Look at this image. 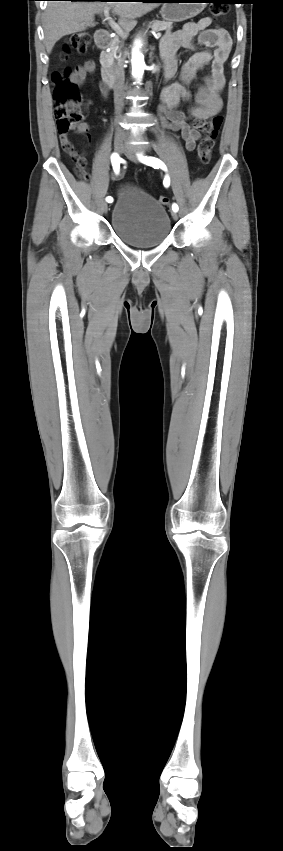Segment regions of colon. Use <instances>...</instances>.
Wrapping results in <instances>:
<instances>
[{
	"mask_svg": "<svg viewBox=\"0 0 283 851\" xmlns=\"http://www.w3.org/2000/svg\"><path fill=\"white\" fill-rule=\"evenodd\" d=\"M227 12L228 7L222 4H216L211 8V13L215 17L224 16ZM89 44L90 36L87 32L79 31L73 33L64 42L61 58L67 60L71 50L84 53ZM70 75L69 69L55 72L52 75L55 86L54 96L56 98L54 117L59 135H67L73 130L86 132L88 129L81 110L82 96L78 85L71 81ZM222 124L223 117L217 113L202 127L203 137L198 144L197 155L203 164H207L211 159L212 149ZM75 172L80 178H88L85 165L82 162H76ZM159 201L163 205H166L169 202V198L163 195L159 197Z\"/></svg>",
	"mask_w": 283,
	"mask_h": 851,
	"instance_id": "5ec220e1",
	"label": "colon"
}]
</instances>
